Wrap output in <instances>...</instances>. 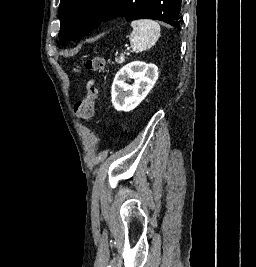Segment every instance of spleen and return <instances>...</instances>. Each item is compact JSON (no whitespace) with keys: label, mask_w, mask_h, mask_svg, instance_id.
Here are the masks:
<instances>
[{"label":"spleen","mask_w":256,"mask_h":267,"mask_svg":"<svg viewBox=\"0 0 256 267\" xmlns=\"http://www.w3.org/2000/svg\"><path fill=\"white\" fill-rule=\"evenodd\" d=\"M131 28L133 30L129 40L135 54L150 50L159 40L161 28L154 20H134L131 22Z\"/></svg>","instance_id":"spleen-1"}]
</instances>
